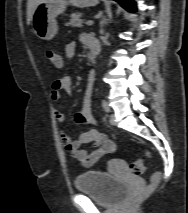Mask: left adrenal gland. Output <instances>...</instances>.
Returning a JSON list of instances; mask_svg holds the SVG:
<instances>
[{"instance_id": "a2214340", "label": "left adrenal gland", "mask_w": 188, "mask_h": 213, "mask_svg": "<svg viewBox=\"0 0 188 213\" xmlns=\"http://www.w3.org/2000/svg\"><path fill=\"white\" fill-rule=\"evenodd\" d=\"M105 24V19L103 18L101 21V26H103Z\"/></svg>"}]
</instances>
